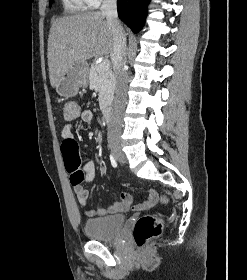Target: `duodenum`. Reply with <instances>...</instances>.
I'll return each mask as SVG.
<instances>
[{"instance_id": "duodenum-1", "label": "duodenum", "mask_w": 247, "mask_h": 280, "mask_svg": "<svg viewBox=\"0 0 247 280\" xmlns=\"http://www.w3.org/2000/svg\"><path fill=\"white\" fill-rule=\"evenodd\" d=\"M111 109L110 108H104L103 110V118L106 122H110L111 120Z\"/></svg>"}]
</instances>
